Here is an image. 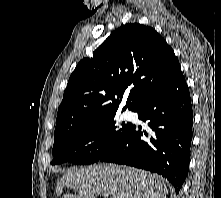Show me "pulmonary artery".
<instances>
[{
    "label": "pulmonary artery",
    "instance_id": "obj_1",
    "mask_svg": "<svg viewBox=\"0 0 221 198\" xmlns=\"http://www.w3.org/2000/svg\"><path fill=\"white\" fill-rule=\"evenodd\" d=\"M124 115H125V116H128V115H129V113H128V112H125V113H124Z\"/></svg>",
    "mask_w": 221,
    "mask_h": 198
}]
</instances>
